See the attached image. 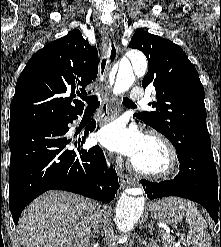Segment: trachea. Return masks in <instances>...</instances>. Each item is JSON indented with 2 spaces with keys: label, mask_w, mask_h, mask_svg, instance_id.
Here are the masks:
<instances>
[{
  "label": "trachea",
  "mask_w": 221,
  "mask_h": 247,
  "mask_svg": "<svg viewBox=\"0 0 221 247\" xmlns=\"http://www.w3.org/2000/svg\"><path fill=\"white\" fill-rule=\"evenodd\" d=\"M82 99L85 100L88 104L86 110H96L100 105V102L98 101L96 95L90 97H82ZM122 103L129 108L136 107L135 103L132 102L128 97H123Z\"/></svg>",
  "instance_id": "trachea-1"
}]
</instances>
